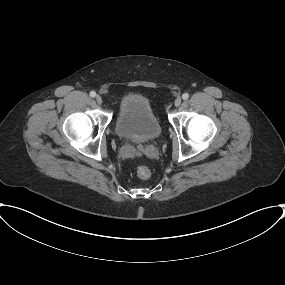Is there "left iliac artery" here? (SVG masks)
<instances>
[{
  "label": "left iliac artery",
  "instance_id": "left-iliac-artery-1",
  "mask_svg": "<svg viewBox=\"0 0 285 285\" xmlns=\"http://www.w3.org/2000/svg\"><path fill=\"white\" fill-rule=\"evenodd\" d=\"M182 98H183L184 100H187V99L189 98V94H188V93H184V94L182 95Z\"/></svg>",
  "mask_w": 285,
  "mask_h": 285
}]
</instances>
